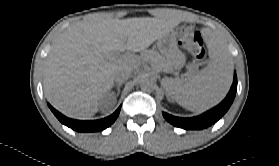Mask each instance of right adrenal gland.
<instances>
[{"label":"right adrenal gland","mask_w":279,"mask_h":166,"mask_svg":"<svg viewBox=\"0 0 279 166\" xmlns=\"http://www.w3.org/2000/svg\"><path fill=\"white\" fill-rule=\"evenodd\" d=\"M121 85H122V82H120V83H117L115 86H116V88H117V95L119 94V92H120V87H121ZM113 87H114V85H113Z\"/></svg>","instance_id":"2a0ac1e0"}]
</instances>
